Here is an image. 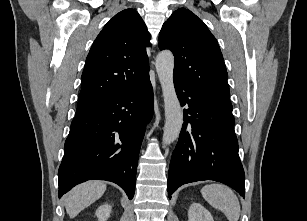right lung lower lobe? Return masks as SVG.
<instances>
[{
    "mask_svg": "<svg viewBox=\"0 0 307 221\" xmlns=\"http://www.w3.org/2000/svg\"><path fill=\"white\" fill-rule=\"evenodd\" d=\"M152 115L149 77L139 88L76 114L58 171L59 198L79 183L99 179L118 184L132 199L138 154Z\"/></svg>",
    "mask_w": 307,
    "mask_h": 221,
    "instance_id": "1",
    "label": "right lung lower lobe"
}]
</instances>
